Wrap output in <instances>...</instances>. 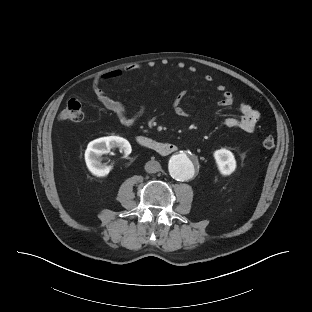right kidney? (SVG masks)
<instances>
[{
	"label": "right kidney",
	"mask_w": 312,
	"mask_h": 312,
	"mask_svg": "<svg viewBox=\"0 0 312 312\" xmlns=\"http://www.w3.org/2000/svg\"><path fill=\"white\" fill-rule=\"evenodd\" d=\"M113 148H119L120 152H123L126 156L132 151L130 143L119 136L98 138L88 144L85 151V162L93 175L104 177L109 173L110 168L101 163V156Z\"/></svg>",
	"instance_id": "obj_1"
}]
</instances>
